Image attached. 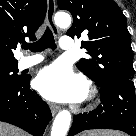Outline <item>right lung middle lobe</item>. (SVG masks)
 Wrapping results in <instances>:
<instances>
[{
    "label": "right lung middle lobe",
    "mask_w": 136,
    "mask_h": 136,
    "mask_svg": "<svg viewBox=\"0 0 136 136\" xmlns=\"http://www.w3.org/2000/svg\"><path fill=\"white\" fill-rule=\"evenodd\" d=\"M17 73L18 63L0 64V86H11L18 82L22 76Z\"/></svg>",
    "instance_id": "dd1d6c3e"
}]
</instances>
